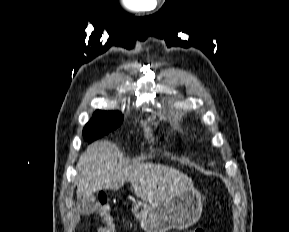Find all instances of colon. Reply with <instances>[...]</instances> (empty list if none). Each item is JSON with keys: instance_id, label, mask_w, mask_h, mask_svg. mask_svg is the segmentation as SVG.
Segmentation results:
<instances>
[{"instance_id": "obj_1", "label": "colon", "mask_w": 289, "mask_h": 232, "mask_svg": "<svg viewBox=\"0 0 289 232\" xmlns=\"http://www.w3.org/2000/svg\"><path fill=\"white\" fill-rule=\"evenodd\" d=\"M109 200L106 195H101L98 198V208L97 213L103 220V225L100 227L99 232H114V225L110 219L109 215ZM187 232H205L201 228H196L193 230H189Z\"/></svg>"}]
</instances>
